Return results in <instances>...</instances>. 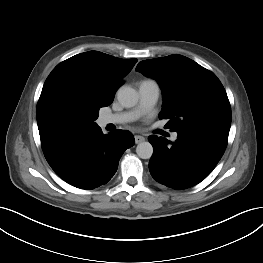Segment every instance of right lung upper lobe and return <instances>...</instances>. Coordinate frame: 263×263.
I'll list each match as a JSON object with an SVG mask.
<instances>
[{"label":"right lung upper lobe","instance_id":"obj_1","mask_svg":"<svg viewBox=\"0 0 263 263\" xmlns=\"http://www.w3.org/2000/svg\"><path fill=\"white\" fill-rule=\"evenodd\" d=\"M137 59H120L99 51L77 54L58 64L46 79L42 91L59 82H73L98 94L108 105Z\"/></svg>","mask_w":263,"mask_h":263}]
</instances>
